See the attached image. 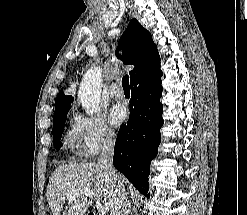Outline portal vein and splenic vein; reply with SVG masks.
Masks as SVG:
<instances>
[{
	"instance_id": "1",
	"label": "portal vein and splenic vein",
	"mask_w": 247,
	"mask_h": 215,
	"mask_svg": "<svg viewBox=\"0 0 247 215\" xmlns=\"http://www.w3.org/2000/svg\"><path fill=\"white\" fill-rule=\"evenodd\" d=\"M80 194H84L85 196H88L90 198L93 197V192L89 189L81 190L80 192H76L73 195H69L67 198L69 201H73L78 197ZM96 209L103 215L106 214L109 211V207L106 203L101 201L95 202Z\"/></svg>"
}]
</instances>
